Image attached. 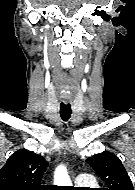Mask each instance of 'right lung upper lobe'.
<instances>
[{"label":"right lung upper lobe","instance_id":"cb5924a9","mask_svg":"<svg viewBox=\"0 0 135 190\" xmlns=\"http://www.w3.org/2000/svg\"><path fill=\"white\" fill-rule=\"evenodd\" d=\"M47 161L33 151L14 152L0 170V190H42L40 185Z\"/></svg>","mask_w":135,"mask_h":190}]
</instances>
